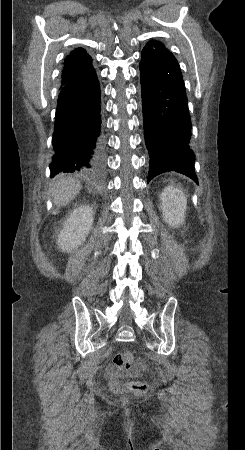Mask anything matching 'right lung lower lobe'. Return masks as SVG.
<instances>
[{
    "instance_id": "98d812e1",
    "label": "right lung lower lobe",
    "mask_w": 245,
    "mask_h": 450,
    "mask_svg": "<svg viewBox=\"0 0 245 450\" xmlns=\"http://www.w3.org/2000/svg\"><path fill=\"white\" fill-rule=\"evenodd\" d=\"M100 86L93 67L61 86L53 134L51 177L59 172L98 175L105 167Z\"/></svg>"
}]
</instances>
